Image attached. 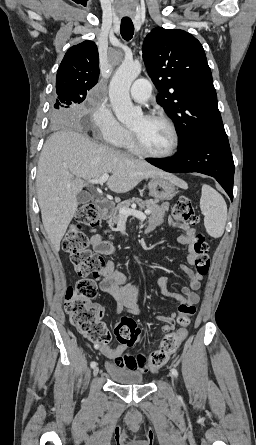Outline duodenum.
I'll return each mask as SVG.
<instances>
[{
	"label": "duodenum",
	"instance_id": "410a0bca",
	"mask_svg": "<svg viewBox=\"0 0 256 445\" xmlns=\"http://www.w3.org/2000/svg\"><path fill=\"white\" fill-rule=\"evenodd\" d=\"M111 207L112 205L106 200H102L98 203L99 213L102 217L109 214Z\"/></svg>",
	"mask_w": 256,
	"mask_h": 445
}]
</instances>
